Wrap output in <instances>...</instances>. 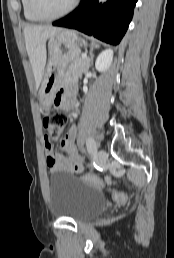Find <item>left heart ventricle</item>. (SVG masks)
Listing matches in <instances>:
<instances>
[{
	"instance_id": "1",
	"label": "left heart ventricle",
	"mask_w": 174,
	"mask_h": 258,
	"mask_svg": "<svg viewBox=\"0 0 174 258\" xmlns=\"http://www.w3.org/2000/svg\"><path fill=\"white\" fill-rule=\"evenodd\" d=\"M73 0H35L37 9L44 15H55L65 10Z\"/></svg>"
}]
</instances>
